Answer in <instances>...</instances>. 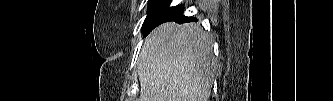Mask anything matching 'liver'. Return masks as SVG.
<instances>
[{
	"label": "liver",
	"mask_w": 333,
	"mask_h": 101,
	"mask_svg": "<svg viewBox=\"0 0 333 101\" xmlns=\"http://www.w3.org/2000/svg\"><path fill=\"white\" fill-rule=\"evenodd\" d=\"M212 48L199 24L157 27L139 57V101H208L218 67Z\"/></svg>",
	"instance_id": "1"
}]
</instances>
